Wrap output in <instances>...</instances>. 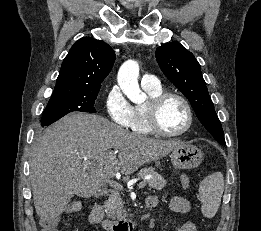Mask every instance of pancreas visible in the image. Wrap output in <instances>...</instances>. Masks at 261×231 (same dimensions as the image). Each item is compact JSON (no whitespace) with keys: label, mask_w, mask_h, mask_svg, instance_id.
<instances>
[{"label":"pancreas","mask_w":261,"mask_h":231,"mask_svg":"<svg viewBox=\"0 0 261 231\" xmlns=\"http://www.w3.org/2000/svg\"><path fill=\"white\" fill-rule=\"evenodd\" d=\"M139 176L151 175V178L146 180V183L150 188L155 190H162L166 185V180L155 171L154 168H142L138 172ZM105 208L107 211V216L110 219H119L122 220L127 216L126 210L124 209L123 200L117 190L111 191L108 200L105 202Z\"/></svg>","instance_id":"obj_1"}]
</instances>
